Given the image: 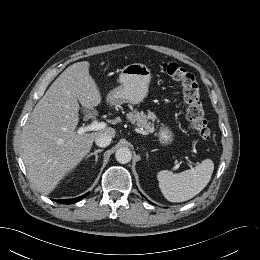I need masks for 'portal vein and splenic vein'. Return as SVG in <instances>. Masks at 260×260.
<instances>
[{
	"label": "portal vein and splenic vein",
	"instance_id": "18ae733b",
	"mask_svg": "<svg viewBox=\"0 0 260 260\" xmlns=\"http://www.w3.org/2000/svg\"><path fill=\"white\" fill-rule=\"evenodd\" d=\"M106 126H107V124L105 122L94 121V122H92L91 124H89L87 126L78 128L77 133L78 134H83L85 132L98 131V130L105 129Z\"/></svg>",
	"mask_w": 260,
	"mask_h": 260
}]
</instances>
